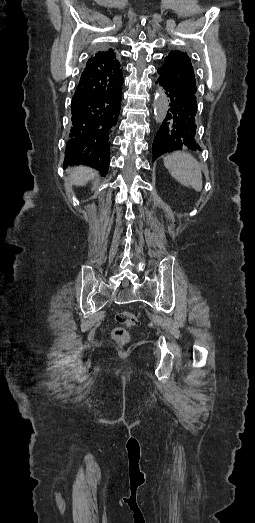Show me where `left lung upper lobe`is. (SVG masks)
<instances>
[{
	"label": "left lung upper lobe",
	"mask_w": 255,
	"mask_h": 523,
	"mask_svg": "<svg viewBox=\"0 0 255 523\" xmlns=\"http://www.w3.org/2000/svg\"><path fill=\"white\" fill-rule=\"evenodd\" d=\"M158 73L160 76L167 78L169 84L176 85L179 89L187 90V93L190 94L193 100V104L197 106L196 96L194 95L197 91L194 71L190 58L186 53L177 50L171 51L168 56L164 58V64L158 69ZM164 120L166 121V118ZM156 137H158V134H156ZM196 144L197 149H200L197 141ZM160 155L161 153H159V156Z\"/></svg>",
	"instance_id": "left-lung-upper-lobe-1"
}]
</instances>
